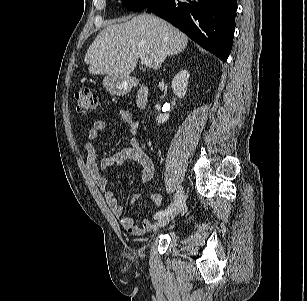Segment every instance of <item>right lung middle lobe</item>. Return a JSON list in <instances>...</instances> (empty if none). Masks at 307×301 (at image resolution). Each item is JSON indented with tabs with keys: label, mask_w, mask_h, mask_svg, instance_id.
<instances>
[{
	"label": "right lung middle lobe",
	"mask_w": 307,
	"mask_h": 301,
	"mask_svg": "<svg viewBox=\"0 0 307 301\" xmlns=\"http://www.w3.org/2000/svg\"><path fill=\"white\" fill-rule=\"evenodd\" d=\"M158 0H122L123 5L131 11H140L149 7Z\"/></svg>",
	"instance_id": "obj_1"
}]
</instances>
